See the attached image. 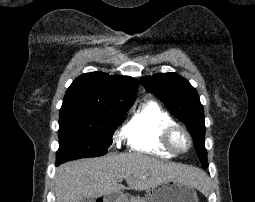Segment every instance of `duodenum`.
Returning <instances> with one entry per match:
<instances>
[{
	"instance_id": "1",
	"label": "duodenum",
	"mask_w": 255,
	"mask_h": 202,
	"mask_svg": "<svg viewBox=\"0 0 255 202\" xmlns=\"http://www.w3.org/2000/svg\"><path fill=\"white\" fill-rule=\"evenodd\" d=\"M101 202H120V201L116 193H108L103 197Z\"/></svg>"
}]
</instances>
